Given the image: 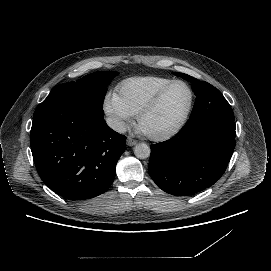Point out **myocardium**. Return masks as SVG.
Wrapping results in <instances>:
<instances>
[{"label":"myocardium","instance_id":"myocardium-1","mask_svg":"<svg viewBox=\"0 0 271 271\" xmlns=\"http://www.w3.org/2000/svg\"><path fill=\"white\" fill-rule=\"evenodd\" d=\"M178 83H183L185 85H187L191 91V101L189 104V107L185 113V115L183 116V118L170 130L165 131V132H161V133H155V134H150V133H146L147 136L149 138H151L152 140L155 141H165L168 140L172 137H174L177 133H179L182 128L185 126V124L187 123V121L190 118V115L194 109L195 106V100H196V92L194 87L192 86L191 83H189L186 80L183 79H175L173 81H171L170 83H168L166 86H164L157 94L156 96L153 98V100L140 112V114L138 115V123L139 126H141V124L143 123V121L151 114L153 113L158 106L160 105L161 101L163 100L164 96L166 95V93L176 84Z\"/></svg>","mask_w":271,"mask_h":271}]
</instances>
